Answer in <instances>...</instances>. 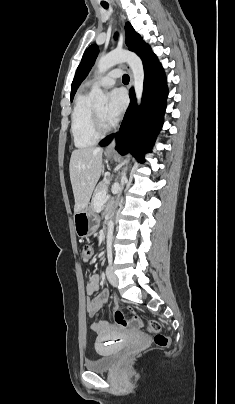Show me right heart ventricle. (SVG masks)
I'll return each mask as SVG.
<instances>
[{"mask_svg": "<svg viewBox=\"0 0 235 404\" xmlns=\"http://www.w3.org/2000/svg\"><path fill=\"white\" fill-rule=\"evenodd\" d=\"M87 99L86 92L79 94L72 111L71 134L77 148L93 146L100 138L94 130L92 108Z\"/></svg>", "mask_w": 235, "mask_h": 404, "instance_id": "1", "label": "right heart ventricle"}]
</instances>
